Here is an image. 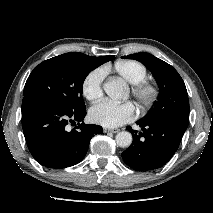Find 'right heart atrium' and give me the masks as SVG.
Segmentation results:
<instances>
[{
  "mask_svg": "<svg viewBox=\"0 0 213 213\" xmlns=\"http://www.w3.org/2000/svg\"><path fill=\"white\" fill-rule=\"evenodd\" d=\"M105 74V69L98 67L86 75L82 84V92L87 100L95 102L102 97Z\"/></svg>",
  "mask_w": 213,
  "mask_h": 213,
  "instance_id": "d8ad5b80",
  "label": "right heart atrium"
}]
</instances>
